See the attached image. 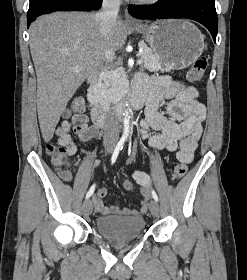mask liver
I'll use <instances>...</instances> for the list:
<instances>
[{
	"label": "liver",
	"mask_w": 247,
	"mask_h": 280,
	"mask_svg": "<svg viewBox=\"0 0 247 280\" xmlns=\"http://www.w3.org/2000/svg\"><path fill=\"white\" fill-rule=\"evenodd\" d=\"M30 50L37 76V112L46 142L80 85L106 61L105 50H119L127 27L121 19L109 37L100 29L97 13L55 12L30 26Z\"/></svg>",
	"instance_id": "liver-1"
}]
</instances>
